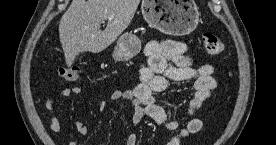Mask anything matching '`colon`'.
<instances>
[{"instance_id": "1", "label": "colon", "mask_w": 276, "mask_h": 145, "mask_svg": "<svg viewBox=\"0 0 276 145\" xmlns=\"http://www.w3.org/2000/svg\"><path fill=\"white\" fill-rule=\"evenodd\" d=\"M202 42L209 55H219L224 50V43L214 34H202ZM59 74L69 82H76L79 80L81 72L78 68L72 67L60 69Z\"/></svg>"}]
</instances>
